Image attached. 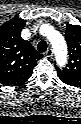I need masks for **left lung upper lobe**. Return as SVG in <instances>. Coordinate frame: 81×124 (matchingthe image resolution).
Instances as JSON below:
<instances>
[{"mask_svg": "<svg viewBox=\"0 0 81 124\" xmlns=\"http://www.w3.org/2000/svg\"><path fill=\"white\" fill-rule=\"evenodd\" d=\"M65 39L68 44L69 62L63 69L55 65L57 75L68 85L81 86V26L67 24Z\"/></svg>", "mask_w": 81, "mask_h": 124, "instance_id": "5c2ea615", "label": "left lung upper lobe"}]
</instances>
